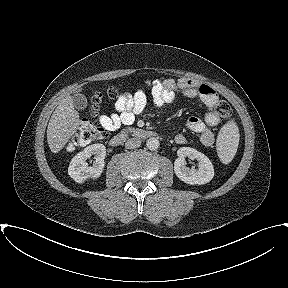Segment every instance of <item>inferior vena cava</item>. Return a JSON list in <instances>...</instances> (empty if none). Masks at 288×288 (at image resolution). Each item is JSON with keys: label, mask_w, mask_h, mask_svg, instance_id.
Instances as JSON below:
<instances>
[{"label": "inferior vena cava", "mask_w": 288, "mask_h": 288, "mask_svg": "<svg viewBox=\"0 0 288 288\" xmlns=\"http://www.w3.org/2000/svg\"><path fill=\"white\" fill-rule=\"evenodd\" d=\"M141 145V141L138 138H130L125 143V148L134 149Z\"/></svg>", "instance_id": "obj_1"}]
</instances>
